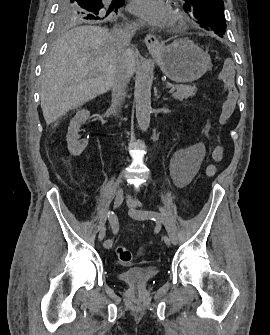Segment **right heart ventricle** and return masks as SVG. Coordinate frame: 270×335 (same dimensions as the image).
<instances>
[{
  "label": "right heart ventricle",
  "instance_id": "right-heart-ventricle-1",
  "mask_svg": "<svg viewBox=\"0 0 270 335\" xmlns=\"http://www.w3.org/2000/svg\"><path fill=\"white\" fill-rule=\"evenodd\" d=\"M138 78H146V77H138Z\"/></svg>",
  "mask_w": 270,
  "mask_h": 335
}]
</instances>
